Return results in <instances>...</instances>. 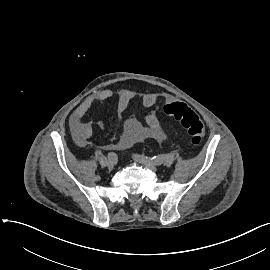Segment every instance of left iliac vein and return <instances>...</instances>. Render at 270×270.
I'll return each mask as SVG.
<instances>
[{
  "mask_svg": "<svg viewBox=\"0 0 270 270\" xmlns=\"http://www.w3.org/2000/svg\"><path fill=\"white\" fill-rule=\"evenodd\" d=\"M134 158H135V160L137 162L143 164L148 169H150L152 171H156L157 170V166L153 162L149 161L147 158H145L143 156H135Z\"/></svg>",
  "mask_w": 270,
  "mask_h": 270,
  "instance_id": "obj_1",
  "label": "left iliac vein"
}]
</instances>
